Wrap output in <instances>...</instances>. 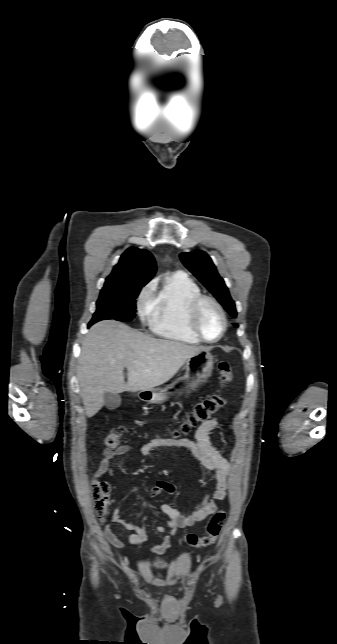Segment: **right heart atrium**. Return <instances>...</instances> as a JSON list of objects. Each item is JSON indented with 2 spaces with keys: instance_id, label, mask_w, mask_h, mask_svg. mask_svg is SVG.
Listing matches in <instances>:
<instances>
[{
  "instance_id": "d8ad5b80",
  "label": "right heart atrium",
  "mask_w": 337,
  "mask_h": 644,
  "mask_svg": "<svg viewBox=\"0 0 337 644\" xmlns=\"http://www.w3.org/2000/svg\"><path fill=\"white\" fill-rule=\"evenodd\" d=\"M153 288H154V284L150 283L142 290L138 298V310H139L140 317L143 320L148 319L151 314V302H152L151 296H152Z\"/></svg>"
}]
</instances>
